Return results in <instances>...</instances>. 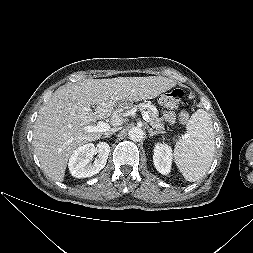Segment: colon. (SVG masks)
Segmentation results:
<instances>
[{"label":"colon","mask_w":253,"mask_h":253,"mask_svg":"<svg viewBox=\"0 0 253 253\" xmlns=\"http://www.w3.org/2000/svg\"><path fill=\"white\" fill-rule=\"evenodd\" d=\"M182 97H183V91L180 89H176L164 97V102L166 104H175L179 102L182 99ZM188 119H189V114L186 111H181L179 114L180 122L186 123Z\"/></svg>","instance_id":"1"}]
</instances>
